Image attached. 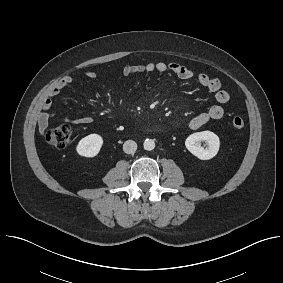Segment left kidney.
Masks as SVG:
<instances>
[{
	"label": "left kidney",
	"mask_w": 283,
	"mask_h": 283,
	"mask_svg": "<svg viewBox=\"0 0 283 283\" xmlns=\"http://www.w3.org/2000/svg\"><path fill=\"white\" fill-rule=\"evenodd\" d=\"M201 141L207 143L205 149L201 147ZM185 146L197 158L201 160H209L217 155L220 147V140L219 137L211 131L196 132L187 137Z\"/></svg>",
	"instance_id": "obj_1"
}]
</instances>
